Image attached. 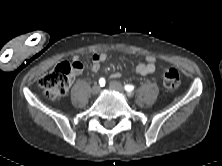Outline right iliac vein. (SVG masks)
<instances>
[{"instance_id": "63e3f726", "label": "right iliac vein", "mask_w": 222, "mask_h": 166, "mask_svg": "<svg viewBox=\"0 0 222 166\" xmlns=\"http://www.w3.org/2000/svg\"><path fill=\"white\" fill-rule=\"evenodd\" d=\"M100 90H101V87L99 85H94L91 89V93L96 95L100 92Z\"/></svg>"}]
</instances>
